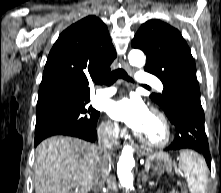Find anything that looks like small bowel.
<instances>
[{
	"label": "small bowel",
	"mask_w": 221,
	"mask_h": 193,
	"mask_svg": "<svg viewBox=\"0 0 221 193\" xmlns=\"http://www.w3.org/2000/svg\"><path fill=\"white\" fill-rule=\"evenodd\" d=\"M170 193H177L176 191H171Z\"/></svg>",
	"instance_id": "1"
}]
</instances>
